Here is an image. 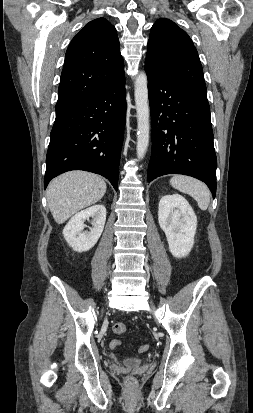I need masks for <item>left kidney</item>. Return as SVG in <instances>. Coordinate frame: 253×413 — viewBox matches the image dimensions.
Returning a JSON list of instances; mask_svg holds the SVG:
<instances>
[{
    "label": "left kidney",
    "instance_id": "5707ae66",
    "mask_svg": "<svg viewBox=\"0 0 253 413\" xmlns=\"http://www.w3.org/2000/svg\"><path fill=\"white\" fill-rule=\"evenodd\" d=\"M158 222L171 254L176 258L186 257L194 245L197 228L196 215L187 200L179 194L163 196L159 202Z\"/></svg>",
    "mask_w": 253,
    "mask_h": 413
}]
</instances>
